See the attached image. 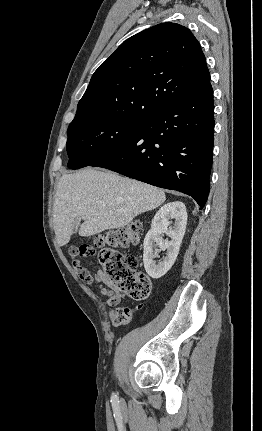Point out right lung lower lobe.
Listing matches in <instances>:
<instances>
[{"instance_id": "obj_1", "label": "right lung lower lobe", "mask_w": 262, "mask_h": 431, "mask_svg": "<svg viewBox=\"0 0 262 431\" xmlns=\"http://www.w3.org/2000/svg\"><path fill=\"white\" fill-rule=\"evenodd\" d=\"M214 137L211 84L198 95L142 119L122 144L90 166L193 197L209 194Z\"/></svg>"}]
</instances>
